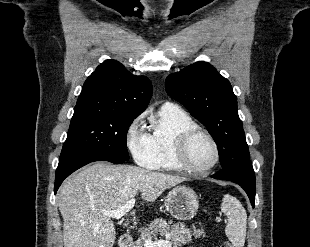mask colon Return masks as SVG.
Wrapping results in <instances>:
<instances>
[{"instance_id":"obj_1","label":"colon","mask_w":310,"mask_h":247,"mask_svg":"<svg viewBox=\"0 0 310 247\" xmlns=\"http://www.w3.org/2000/svg\"><path fill=\"white\" fill-rule=\"evenodd\" d=\"M221 247H234L231 243L229 242H224Z\"/></svg>"}]
</instances>
